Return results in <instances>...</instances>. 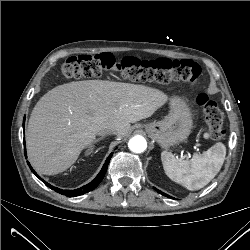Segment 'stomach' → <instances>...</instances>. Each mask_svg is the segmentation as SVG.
<instances>
[{"label":"stomach","instance_id":"obj_1","mask_svg":"<svg viewBox=\"0 0 250 250\" xmlns=\"http://www.w3.org/2000/svg\"><path fill=\"white\" fill-rule=\"evenodd\" d=\"M192 116L187 103L180 97L170 101V112L161 121L145 125L149 136L161 147L168 148L187 139L192 129Z\"/></svg>","mask_w":250,"mask_h":250}]
</instances>
